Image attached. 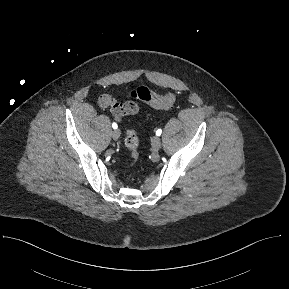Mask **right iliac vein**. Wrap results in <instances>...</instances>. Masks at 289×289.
<instances>
[{
    "mask_svg": "<svg viewBox=\"0 0 289 289\" xmlns=\"http://www.w3.org/2000/svg\"><path fill=\"white\" fill-rule=\"evenodd\" d=\"M120 130H118V129H115L113 132H112V138L114 139V140H118L119 138H120Z\"/></svg>",
    "mask_w": 289,
    "mask_h": 289,
    "instance_id": "right-iliac-vein-1",
    "label": "right iliac vein"
}]
</instances>
